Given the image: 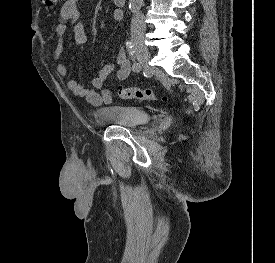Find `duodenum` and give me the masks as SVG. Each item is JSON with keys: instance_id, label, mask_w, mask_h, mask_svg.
<instances>
[{"instance_id": "410a0bca", "label": "duodenum", "mask_w": 275, "mask_h": 263, "mask_svg": "<svg viewBox=\"0 0 275 263\" xmlns=\"http://www.w3.org/2000/svg\"><path fill=\"white\" fill-rule=\"evenodd\" d=\"M127 0H114L115 4L119 7H123L126 5Z\"/></svg>"}]
</instances>
